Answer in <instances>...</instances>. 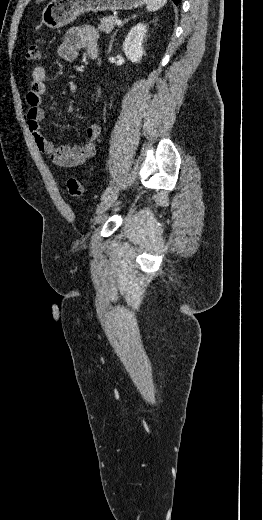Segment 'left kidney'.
Here are the masks:
<instances>
[{
	"label": "left kidney",
	"mask_w": 263,
	"mask_h": 520,
	"mask_svg": "<svg viewBox=\"0 0 263 520\" xmlns=\"http://www.w3.org/2000/svg\"><path fill=\"white\" fill-rule=\"evenodd\" d=\"M147 28L144 24H137L128 33L123 43V51L127 58L133 62L138 63L143 56V41L146 37Z\"/></svg>",
	"instance_id": "1"
}]
</instances>
